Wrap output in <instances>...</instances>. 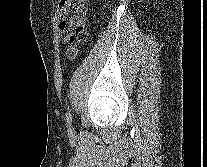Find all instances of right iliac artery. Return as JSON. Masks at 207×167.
Returning a JSON list of instances; mask_svg holds the SVG:
<instances>
[{
	"instance_id": "right-iliac-artery-1",
	"label": "right iliac artery",
	"mask_w": 207,
	"mask_h": 167,
	"mask_svg": "<svg viewBox=\"0 0 207 167\" xmlns=\"http://www.w3.org/2000/svg\"><path fill=\"white\" fill-rule=\"evenodd\" d=\"M66 121H67L68 129L71 131L72 130V115H71L70 110H68V112L66 113Z\"/></svg>"
}]
</instances>
